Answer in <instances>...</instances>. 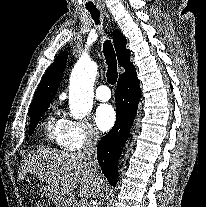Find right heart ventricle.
<instances>
[{
    "label": "right heart ventricle",
    "instance_id": "e07e8e85",
    "mask_svg": "<svg viewBox=\"0 0 206 207\" xmlns=\"http://www.w3.org/2000/svg\"><path fill=\"white\" fill-rule=\"evenodd\" d=\"M61 120H56L53 116H50L45 123V134L50 141H55L61 147Z\"/></svg>",
    "mask_w": 206,
    "mask_h": 207
}]
</instances>
